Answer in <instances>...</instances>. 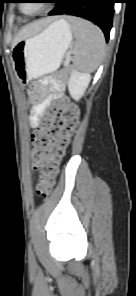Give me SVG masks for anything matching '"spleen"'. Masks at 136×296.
Wrapping results in <instances>:
<instances>
[{
	"mask_svg": "<svg viewBox=\"0 0 136 296\" xmlns=\"http://www.w3.org/2000/svg\"><path fill=\"white\" fill-rule=\"evenodd\" d=\"M68 21L75 36L74 67L88 73L95 71L102 61L105 50L102 31L84 19L69 17Z\"/></svg>",
	"mask_w": 136,
	"mask_h": 296,
	"instance_id": "obj_1",
	"label": "spleen"
}]
</instances>
